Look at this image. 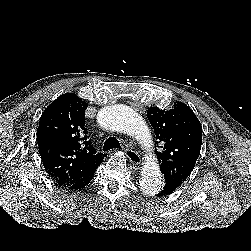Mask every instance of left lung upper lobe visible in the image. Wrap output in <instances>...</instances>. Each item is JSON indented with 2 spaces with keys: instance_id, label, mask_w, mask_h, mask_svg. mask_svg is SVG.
Returning <instances> with one entry per match:
<instances>
[{
  "instance_id": "left-lung-upper-lobe-1",
  "label": "left lung upper lobe",
  "mask_w": 251,
  "mask_h": 251,
  "mask_svg": "<svg viewBox=\"0 0 251 251\" xmlns=\"http://www.w3.org/2000/svg\"><path fill=\"white\" fill-rule=\"evenodd\" d=\"M148 119L161 150L155 151L165 182L177 187L187 179L200 154L202 126L193 111L177 102L170 110L150 107Z\"/></svg>"
}]
</instances>
